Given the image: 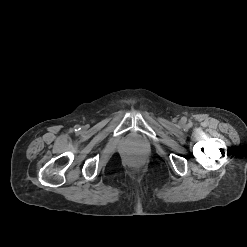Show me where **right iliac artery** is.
<instances>
[{"instance_id": "82829eb1", "label": "right iliac artery", "mask_w": 247, "mask_h": 247, "mask_svg": "<svg viewBox=\"0 0 247 247\" xmlns=\"http://www.w3.org/2000/svg\"><path fill=\"white\" fill-rule=\"evenodd\" d=\"M80 130L79 125L75 126V131Z\"/></svg>"}]
</instances>
